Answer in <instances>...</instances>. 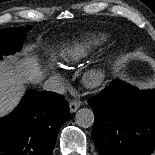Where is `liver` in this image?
Wrapping results in <instances>:
<instances>
[{"mask_svg": "<svg viewBox=\"0 0 155 155\" xmlns=\"http://www.w3.org/2000/svg\"><path fill=\"white\" fill-rule=\"evenodd\" d=\"M13 65L0 63V117L11 112L24 91L25 79L36 83L43 79L44 71L32 56L12 60Z\"/></svg>", "mask_w": 155, "mask_h": 155, "instance_id": "1", "label": "liver"}]
</instances>
